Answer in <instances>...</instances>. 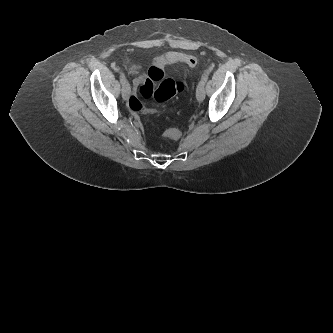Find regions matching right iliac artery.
Masks as SVG:
<instances>
[{
    "instance_id": "82829eb1",
    "label": "right iliac artery",
    "mask_w": 333,
    "mask_h": 333,
    "mask_svg": "<svg viewBox=\"0 0 333 333\" xmlns=\"http://www.w3.org/2000/svg\"><path fill=\"white\" fill-rule=\"evenodd\" d=\"M120 82H121L122 86H124L125 84H128L126 77L123 73L120 74Z\"/></svg>"
}]
</instances>
